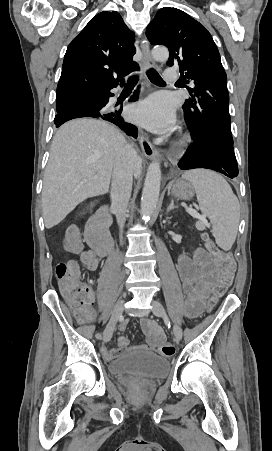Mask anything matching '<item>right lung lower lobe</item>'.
Returning a JSON list of instances; mask_svg holds the SVG:
<instances>
[{
	"label": "right lung lower lobe",
	"mask_w": 272,
	"mask_h": 451,
	"mask_svg": "<svg viewBox=\"0 0 272 451\" xmlns=\"http://www.w3.org/2000/svg\"><path fill=\"white\" fill-rule=\"evenodd\" d=\"M123 83L124 82L121 84ZM110 90L111 89L85 92L67 97L57 103V115L54 119L56 127H59L71 119L91 117L113 123L127 135L137 138V127L123 120L121 117V109L114 110L107 106L109 98L114 95ZM136 100L137 95L135 94L129 101Z\"/></svg>",
	"instance_id": "obj_1"
}]
</instances>
